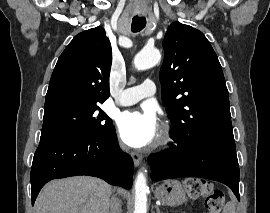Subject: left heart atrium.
Here are the masks:
<instances>
[{"mask_svg":"<svg viewBox=\"0 0 270 213\" xmlns=\"http://www.w3.org/2000/svg\"><path fill=\"white\" fill-rule=\"evenodd\" d=\"M158 118L152 108L127 111L118 119L119 135L124 143L141 148L152 144L158 135Z\"/></svg>","mask_w":270,"mask_h":213,"instance_id":"left-heart-atrium-1","label":"left heart atrium"}]
</instances>
